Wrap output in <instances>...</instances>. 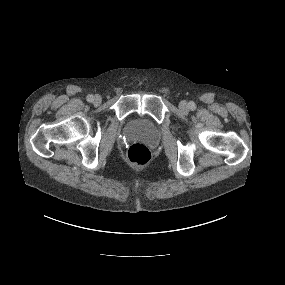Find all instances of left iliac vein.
I'll list each match as a JSON object with an SVG mask.
<instances>
[{"instance_id":"obj_1","label":"left iliac vein","mask_w":285,"mask_h":285,"mask_svg":"<svg viewBox=\"0 0 285 285\" xmlns=\"http://www.w3.org/2000/svg\"><path fill=\"white\" fill-rule=\"evenodd\" d=\"M179 109L182 111V112H187L189 110V106L187 104L186 101H181L179 103Z\"/></svg>"}]
</instances>
